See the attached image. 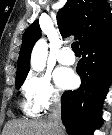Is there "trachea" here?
Returning <instances> with one entry per match:
<instances>
[{"label": "trachea", "mask_w": 112, "mask_h": 135, "mask_svg": "<svg viewBox=\"0 0 112 135\" xmlns=\"http://www.w3.org/2000/svg\"><path fill=\"white\" fill-rule=\"evenodd\" d=\"M71 47H72V50L74 51L75 54H77V55L81 54V51H80V48H79V44H78L77 41L73 42Z\"/></svg>", "instance_id": "obj_1"}]
</instances>
